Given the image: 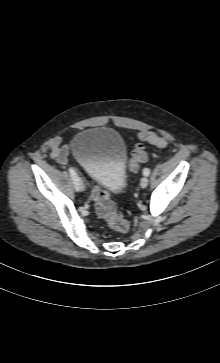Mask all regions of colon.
<instances>
[{"mask_svg":"<svg viewBox=\"0 0 220 363\" xmlns=\"http://www.w3.org/2000/svg\"><path fill=\"white\" fill-rule=\"evenodd\" d=\"M141 141L148 142L156 146H165L167 140L152 131H144L139 134ZM148 155L143 143H138L135 145L129 164V169L135 171L140 163L147 160ZM92 198L95 203L96 213L103 218L108 226L117 232L128 231L130 224L124 216L117 211L114 203L109 197L106 190L94 186L92 190Z\"/></svg>","mask_w":220,"mask_h":363,"instance_id":"obj_1","label":"colon"}]
</instances>
